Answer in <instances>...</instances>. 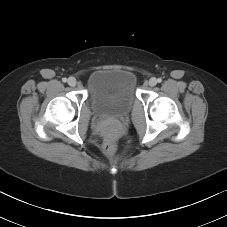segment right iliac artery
<instances>
[{
  "mask_svg": "<svg viewBox=\"0 0 227 227\" xmlns=\"http://www.w3.org/2000/svg\"><path fill=\"white\" fill-rule=\"evenodd\" d=\"M62 81L65 83L67 82V78H63Z\"/></svg>",
  "mask_w": 227,
  "mask_h": 227,
  "instance_id": "82829eb1",
  "label": "right iliac artery"
}]
</instances>
